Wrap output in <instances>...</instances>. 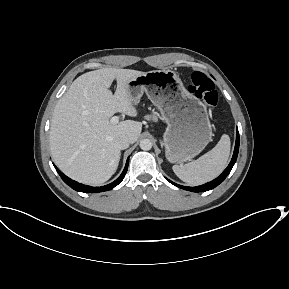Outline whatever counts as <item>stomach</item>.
Returning a JSON list of instances; mask_svg holds the SVG:
<instances>
[{
    "label": "stomach",
    "mask_w": 289,
    "mask_h": 289,
    "mask_svg": "<svg viewBox=\"0 0 289 289\" xmlns=\"http://www.w3.org/2000/svg\"><path fill=\"white\" fill-rule=\"evenodd\" d=\"M128 92L134 104L145 93L160 110L167 124L163 140L168 161L191 160L210 142L212 125L207 108L185 89L177 72H146L128 82Z\"/></svg>",
    "instance_id": "obj_1"
}]
</instances>
